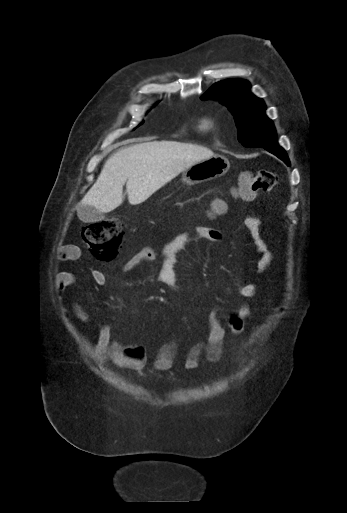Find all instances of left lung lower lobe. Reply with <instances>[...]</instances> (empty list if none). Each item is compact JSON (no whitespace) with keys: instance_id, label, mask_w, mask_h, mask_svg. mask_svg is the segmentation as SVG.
Here are the masks:
<instances>
[{"instance_id":"left-lung-lower-lobe-1","label":"left lung lower lobe","mask_w":347,"mask_h":513,"mask_svg":"<svg viewBox=\"0 0 347 513\" xmlns=\"http://www.w3.org/2000/svg\"><path fill=\"white\" fill-rule=\"evenodd\" d=\"M267 151L271 152L272 154L279 157L281 160H283L288 166H290L289 159L287 157V154L285 153L284 149L280 146H276L274 148H265Z\"/></svg>"}]
</instances>
